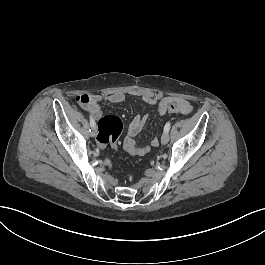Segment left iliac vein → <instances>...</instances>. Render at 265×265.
Masks as SVG:
<instances>
[{
    "instance_id": "4c4485c4",
    "label": "left iliac vein",
    "mask_w": 265,
    "mask_h": 265,
    "mask_svg": "<svg viewBox=\"0 0 265 265\" xmlns=\"http://www.w3.org/2000/svg\"><path fill=\"white\" fill-rule=\"evenodd\" d=\"M168 141H169V134H168V132H164L161 136V143L167 144Z\"/></svg>"
}]
</instances>
